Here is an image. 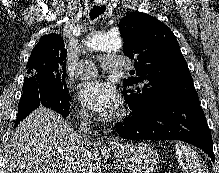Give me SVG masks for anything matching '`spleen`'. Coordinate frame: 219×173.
Returning <instances> with one entry per match:
<instances>
[{"instance_id":"1","label":"spleen","mask_w":219,"mask_h":173,"mask_svg":"<svg viewBox=\"0 0 219 173\" xmlns=\"http://www.w3.org/2000/svg\"><path fill=\"white\" fill-rule=\"evenodd\" d=\"M175 151L178 163L185 173H208L198 154L189 146L182 142H177Z\"/></svg>"}]
</instances>
